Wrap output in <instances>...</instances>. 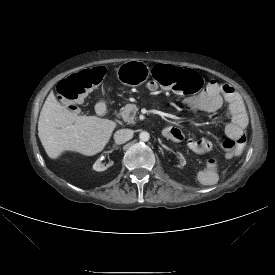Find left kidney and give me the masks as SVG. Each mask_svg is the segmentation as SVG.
Instances as JSON below:
<instances>
[{"label":"left kidney","mask_w":275,"mask_h":275,"mask_svg":"<svg viewBox=\"0 0 275 275\" xmlns=\"http://www.w3.org/2000/svg\"><path fill=\"white\" fill-rule=\"evenodd\" d=\"M179 155H180V165H179V167H183V166L186 165V160H185V158L183 157V155L181 153H179Z\"/></svg>","instance_id":"left-kidney-1"}]
</instances>
